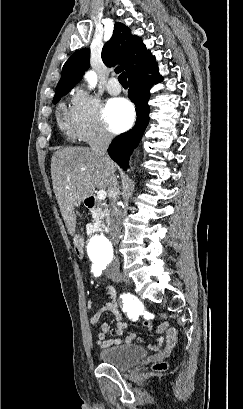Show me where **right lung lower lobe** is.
I'll return each mask as SVG.
<instances>
[{
  "label": "right lung lower lobe",
  "instance_id": "right-lung-lower-lobe-1",
  "mask_svg": "<svg viewBox=\"0 0 243 409\" xmlns=\"http://www.w3.org/2000/svg\"><path fill=\"white\" fill-rule=\"evenodd\" d=\"M147 73L152 75L149 76ZM147 73L128 80L130 88L128 97L137 107V122L130 131L117 136L108 150L110 157L124 170H127L130 154L138 146L149 121L150 109L147 104L149 90L153 84L162 80L158 67Z\"/></svg>",
  "mask_w": 243,
  "mask_h": 409
}]
</instances>
